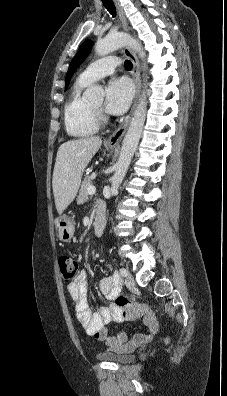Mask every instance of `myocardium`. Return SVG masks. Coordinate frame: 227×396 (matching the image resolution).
<instances>
[{
    "mask_svg": "<svg viewBox=\"0 0 227 396\" xmlns=\"http://www.w3.org/2000/svg\"><path fill=\"white\" fill-rule=\"evenodd\" d=\"M93 111L95 113V116L98 120L99 123H103L106 121V117L103 115L101 108H97L95 106H92Z\"/></svg>",
    "mask_w": 227,
    "mask_h": 396,
    "instance_id": "1",
    "label": "myocardium"
}]
</instances>
